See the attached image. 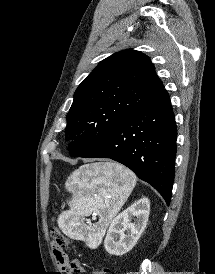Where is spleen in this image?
<instances>
[{
  "instance_id": "3e777b00",
  "label": "spleen",
  "mask_w": 215,
  "mask_h": 274,
  "mask_svg": "<svg viewBox=\"0 0 215 274\" xmlns=\"http://www.w3.org/2000/svg\"><path fill=\"white\" fill-rule=\"evenodd\" d=\"M130 170L114 163H94L75 170L65 183L73 194L71 209L58 219L60 229L69 237L86 240L90 245L102 240L105 229L120 211L136 184ZM99 215L93 226L79 221L90 212Z\"/></svg>"
}]
</instances>
